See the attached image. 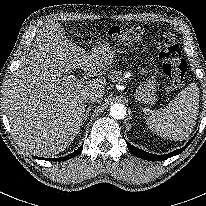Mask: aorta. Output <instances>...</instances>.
<instances>
[{
  "label": "aorta",
  "instance_id": "aorta-1",
  "mask_svg": "<svg viewBox=\"0 0 206 206\" xmlns=\"http://www.w3.org/2000/svg\"><path fill=\"white\" fill-rule=\"evenodd\" d=\"M126 115V108L121 103L113 104L110 107V116L114 119H122Z\"/></svg>",
  "mask_w": 206,
  "mask_h": 206
}]
</instances>
